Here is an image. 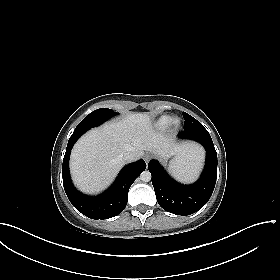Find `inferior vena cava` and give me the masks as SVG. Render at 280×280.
Wrapping results in <instances>:
<instances>
[{"label": "inferior vena cava", "mask_w": 280, "mask_h": 280, "mask_svg": "<svg viewBox=\"0 0 280 280\" xmlns=\"http://www.w3.org/2000/svg\"><path fill=\"white\" fill-rule=\"evenodd\" d=\"M136 159L135 155L133 153L127 152L122 156V160L124 162H132Z\"/></svg>", "instance_id": "inferior-vena-cava-1"}]
</instances>
